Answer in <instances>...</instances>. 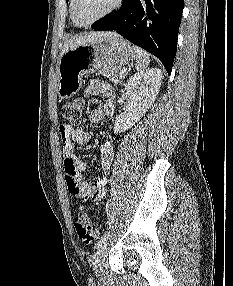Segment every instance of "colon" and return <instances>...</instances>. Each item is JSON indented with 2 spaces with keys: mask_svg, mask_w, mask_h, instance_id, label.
<instances>
[{
  "mask_svg": "<svg viewBox=\"0 0 233 286\" xmlns=\"http://www.w3.org/2000/svg\"><path fill=\"white\" fill-rule=\"evenodd\" d=\"M84 111V101L74 99L66 102L61 109L62 117L73 125H77L82 120ZM75 230L78 238L84 243H91L97 238V232L92 225V220L84 206L79 208L75 218Z\"/></svg>",
  "mask_w": 233,
  "mask_h": 286,
  "instance_id": "1",
  "label": "colon"
}]
</instances>
